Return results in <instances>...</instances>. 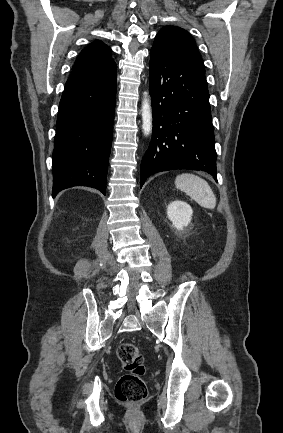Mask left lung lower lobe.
Listing matches in <instances>:
<instances>
[{"mask_svg":"<svg viewBox=\"0 0 283 433\" xmlns=\"http://www.w3.org/2000/svg\"><path fill=\"white\" fill-rule=\"evenodd\" d=\"M149 67L153 137L141 162V187L150 175L173 169L206 171L217 181L205 71L152 50Z\"/></svg>","mask_w":283,"mask_h":433,"instance_id":"left-lung-lower-lobe-1","label":"left lung lower lobe"}]
</instances>
